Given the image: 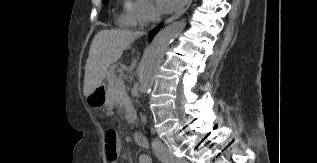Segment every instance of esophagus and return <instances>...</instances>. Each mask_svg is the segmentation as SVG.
I'll return each mask as SVG.
<instances>
[{"mask_svg": "<svg viewBox=\"0 0 317 163\" xmlns=\"http://www.w3.org/2000/svg\"><path fill=\"white\" fill-rule=\"evenodd\" d=\"M192 3V0H184V3L182 6L171 16L169 17L166 21L165 24H169L179 18L182 14L185 13V11L189 8L190 4Z\"/></svg>", "mask_w": 317, "mask_h": 163, "instance_id": "34e87169", "label": "esophagus"}]
</instances>
